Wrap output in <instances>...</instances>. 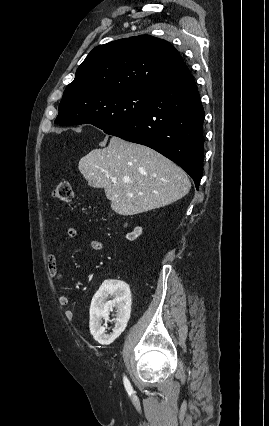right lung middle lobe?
<instances>
[{"label": "right lung middle lobe", "mask_w": 269, "mask_h": 426, "mask_svg": "<svg viewBox=\"0 0 269 426\" xmlns=\"http://www.w3.org/2000/svg\"><path fill=\"white\" fill-rule=\"evenodd\" d=\"M153 92L127 90L82 98L64 96L55 123L61 125L92 124L107 131L139 116L149 105Z\"/></svg>", "instance_id": "1"}]
</instances>
